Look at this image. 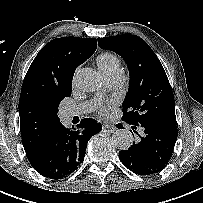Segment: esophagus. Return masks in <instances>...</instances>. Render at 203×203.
Instances as JSON below:
<instances>
[{
  "mask_svg": "<svg viewBox=\"0 0 203 203\" xmlns=\"http://www.w3.org/2000/svg\"><path fill=\"white\" fill-rule=\"evenodd\" d=\"M103 128L110 129L111 131H115V126L109 121H103Z\"/></svg>",
  "mask_w": 203,
  "mask_h": 203,
  "instance_id": "34e87169",
  "label": "esophagus"
}]
</instances>
